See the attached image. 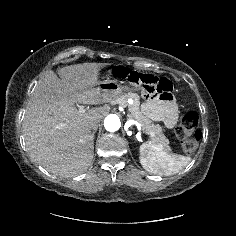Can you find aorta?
<instances>
[{"mask_svg":"<svg viewBox=\"0 0 236 236\" xmlns=\"http://www.w3.org/2000/svg\"><path fill=\"white\" fill-rule=\"evenodd\" d=\"M121 126L120 118L115 114L108 115L104 120V127L109 132L117 131Z\"/></svg>","mask_w":236,"mask_h":236,"instance_id":"762f6f07","label":"aorta"}]
</instances>
